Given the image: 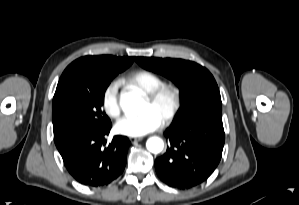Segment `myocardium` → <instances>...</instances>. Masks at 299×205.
<instances>
[{
    "instance_id": "myocardium-1",
    "label": "myocardium",
    "mask_w": 299,
    "mask_h": 205,
    "mask_svg": "<svg viewBox=\"0 0 299 205\" xmlns=\"http://www.w3.org/2000/svg\"><path fill=\"white\" fill-rule=\"evenodd\" d=\"M145 99L156 105L164 100L168 101V109L162 117V123L168 124L177 116L182 105L181 89L174 84H162L155 90L146 93Z\"/></svg>"
}]
</instances>
